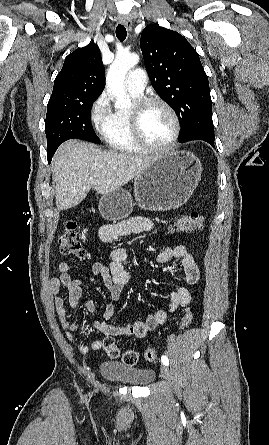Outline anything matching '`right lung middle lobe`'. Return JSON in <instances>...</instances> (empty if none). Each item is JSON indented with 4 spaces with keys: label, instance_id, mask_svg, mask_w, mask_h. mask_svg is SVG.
<instances>
[{
    "label": "right lung middle lobe",
    "instance_id": "right-lung-middle-lobe-1",
    "mask_svg": "<svg viewBox=\"0 0 269 445\" xmlns=\"http://www.w3.org/2000/svg\"><path fill=\"white\" fill-rule=\"evenodd\" d=\"M98 97L79 96L49 100L45 120L49 162L59 145L68 139L79 138L100 143L90 121L91 107Z\"/></svg>",
    "mask_w": 269,
    "mask_h": 445
}]
</instances>
